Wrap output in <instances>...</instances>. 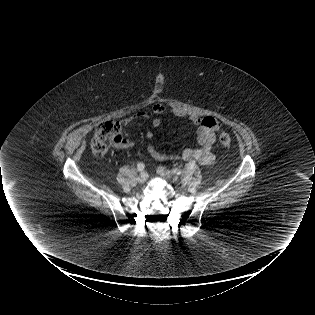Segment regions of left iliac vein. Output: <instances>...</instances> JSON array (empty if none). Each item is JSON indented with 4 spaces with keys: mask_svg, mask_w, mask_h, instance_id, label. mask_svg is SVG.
Listing matches in <instances>:
<instances>
[{
    "mask_svg": "<svg viewBox=\"0 0 315 315\" xmlns=\"http://www.w3.org/2000/svg\"><path fill=\"white\" fill-rule=\"evenodd\" d=\"M158 174L162 177H164L167 180L176 182L178 180V178L176 176H174L173 174H171L170 171H168L167 169L160 167L157 170Z\"/></svg>",
    "mask_w": 315,
    "mask_h": 315,
    "instance_id": "left-iliac-vein-1",
    "label": "left iliac vein"
}]
</instances>
